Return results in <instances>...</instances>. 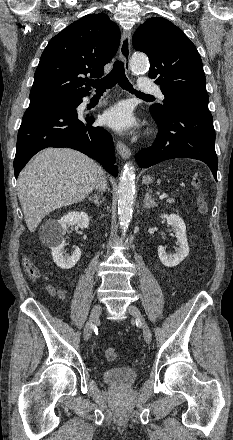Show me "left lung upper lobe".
<instances>
[{
  "label": "left lung upper lobe",
  "mask_w": 233,
  "mask_h": 440,
  "mask_svg": "<svg viewBox=\"0 0 233 440\" xmlns=\"http://www.w3.org/2000/svg\"><path fill=\"white\" fill-rule=\"evenodd\" d=\"M133 46L148 55L149 77L156 79L165 96L164 104L152 105L150 111L162 118L177 104L208 106L202 60L182 30L167 19L150 18L137 28Z\"/></svg>",
  "instance_id": "left-lung-upper-lobe-1"
}]
</instances>
